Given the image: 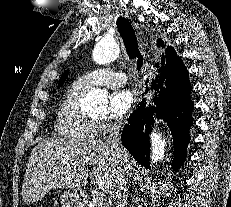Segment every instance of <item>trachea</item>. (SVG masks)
Returning <instances> with one entry per match:
<instances>
[{
  "instance_id": "3493384b",
  "label": "trachea",
  "mask_w": 231,
  "mask_h": 207,
  "mask_svg": "<svg viewBox=\"0 0 231 207\" xmlns=\"http://www.w3.org/2000/svg\"><path fill=\"white\" fill-rule=\"evenodd\" d=\"M116 25L123 39V43L129 58L131 60H137V70L140 71L143 65V56L138 48V41L134 28L128 20L122 17L117 19Z\"/></svg>"
}]
</instances>
